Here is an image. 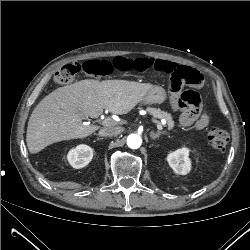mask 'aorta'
<instances>
[{"instance_id": "762f6f07", "label": "aorta", "mask_w": 250, "mask_h": 250, "mask_svg": "<svg viewBox=\"0 0 250 250\" xmlns=\"http://www.w3.org/2000/svg\"><path fill=\"white\" fill-rule=\"evenodd\" d=\"M142 144V138L138 134H130L127 137V145L131 149H137Z\"/></svg>"}]
</instances>
